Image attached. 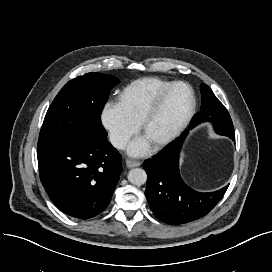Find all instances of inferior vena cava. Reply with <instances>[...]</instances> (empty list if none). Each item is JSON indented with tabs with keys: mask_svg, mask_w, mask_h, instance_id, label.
Listing matches in <instances>:
<instances>
[{
	"mask_svg": "<svg viewBox=\"0 0 272 272\" xmlns=\"http://www.w3.org/2000/svg\"><path fill=\"white\" fill-rule=\"evenodd\" d=\"M111 144L118 149H125L128 143V138L119 134H112L110 136Z\"/></svg>",
	"mask_w": 272,
	"mask_h": 272,
	"instance_id": "obj_1",
	"label": "inferior vena cava"
}]
</instances>
